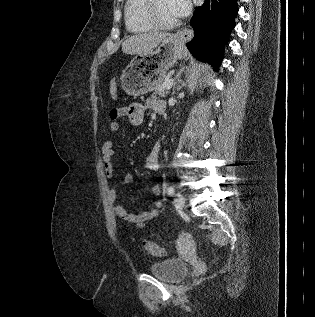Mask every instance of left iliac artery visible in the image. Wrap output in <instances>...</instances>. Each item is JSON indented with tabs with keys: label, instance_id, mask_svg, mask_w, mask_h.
<instances>
[{
	"label": "left iliac artery",
	"instance_id": "44dca946",
	"mask_svg": "<svg viewBox=\"0 0 315 317\" xmlns=\"http://www.w3.org/2000/svg\"><path fill=\"white\" fill-rule=\"evenodd\" d=\"M174 188L172 187V186H169L168 188H167V193L169 194V195H174Z\"/></svg>",
	"mask_w": 315,
	"mask_h": 317
}]
</instances>
